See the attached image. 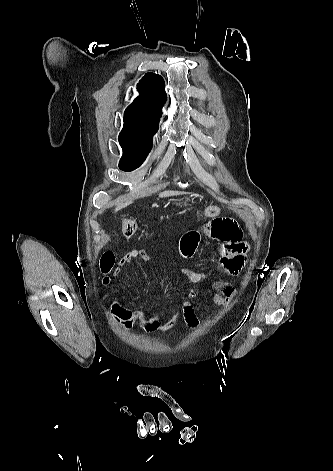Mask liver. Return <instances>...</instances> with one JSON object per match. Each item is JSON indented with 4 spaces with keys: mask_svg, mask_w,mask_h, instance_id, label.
<instances>
[{
    "mask_svg": "<svg viewBox=\"0 0 333 471\" xmlns=\"http://www.w3.org/2000/svg\"><path fill=\"white\" fill-rule=\"evenodd\" d=\"M182 194V192H179V191H164V192H161L159 193V197L160 198H164V197H170V196H175V195H180ZM133 201L132 200H128L126 202H123V203H120L116 208H115V211H118L122 208H125L127 207L128 205H130Z\"/></svg>",
    "mask_w": 333,
    "mask_h": 471,
    "instance_id": "obj_1",
    "label": "liver"
}]
</instances>
